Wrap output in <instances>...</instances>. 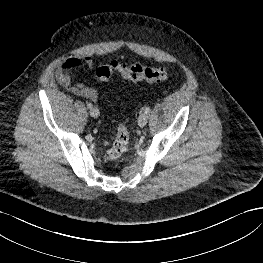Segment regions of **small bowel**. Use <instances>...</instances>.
Listing matches in <instances>:
<instances>
[{"label":"small bowel","mask_w":263,"mask_h":263,"mask_svg":"<svg viewBox=\"0 0 263 263\" xmlns=\"http://www.w3.org/2000/svg\"><path fill=\"white\" fill-rule=\"evenodd\" d=\"M87 66L93 68L94 61L90 56L69 57L62 60L56 68V79L61 86L76 96L84 97L89 100H96L97 90L80 82H74L71 78V72L77 68Z\"/></svg>","instance_id":"c3829d8e"}]
</instances>
